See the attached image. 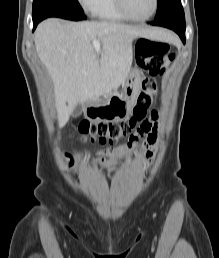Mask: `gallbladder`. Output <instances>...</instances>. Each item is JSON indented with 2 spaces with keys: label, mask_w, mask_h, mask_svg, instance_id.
<instances>
[{
  "label": "gallbladder",
  "mask_w": 219,
  "mask_h": 258,
  "mask_svg": "<svg viewBox=\"0 0 219 258\" xmlns=\"http://www.w3.org/2000/svg\"><path fill=\"white\" fill-rule=\"evenodd\" d=\"M81 112H82L81 106H80V105H77V106L74 108L73 112H72V117H75V118H76V117L80 116Z\"/></svg>",
  "instance_id": "bac80fb5"
}]
</instances>
